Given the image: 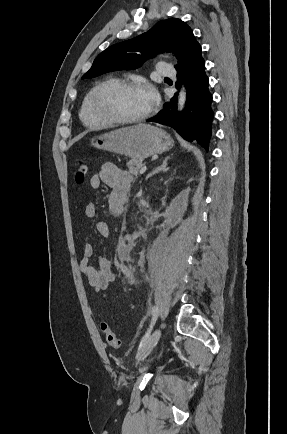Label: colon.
<instances>
[{
  "label": "colon",
  "instance_id": "colon-1",
  "mask_svg": "<svg viewBox=\"0 0 287 434\" xmlns=\"http://www.w3.org/2000/svg\"><path fill=\"white\" fill-rule=\"evenodd\" d=\"M88 174V167L86 162L78 158L74 162V177L75 181L78 184L83 183ZM101 330L104 334L106 342L112 346L113 348H119L121 346V340L118 338V336L115 334V332L110 328V326L107 323L101 324Z\"/></svg>",
  "mask_w": 287,
  "mask_h": 434
}]
</instances>
